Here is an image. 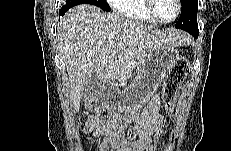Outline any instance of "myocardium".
Instances as JSON below:
<instances>
[{
    "mask_svg": "<svg viewBox=\"0 0 231 151\" xmlns=\"http://www.w3.org/2000/svg\"><path fill=\"white\" fill-rule=\"evenodd\" d=\"M145 6H146V11L149 14V16L153 20H155L157 23H161V24H169V23L174 22L181 13V1L180 0H175L176 13L171 19H168V20L162 19L156 14L155 0H146Z\"/></svg>",
    "mask_w": 231,
    "mask_h": 151,
    "instance_id": "obj_1",
    "label": "myocardium"
}]
</instances>
